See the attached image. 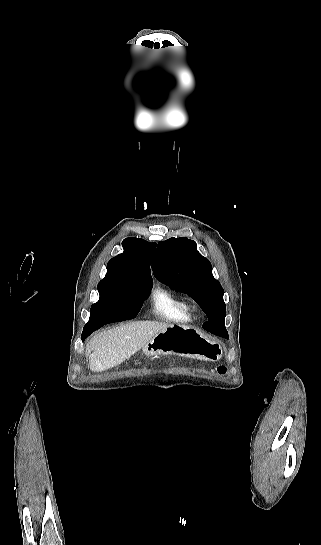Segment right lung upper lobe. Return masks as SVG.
<instances>
[{
	"label": "right lung upper lobe",
	"instance_id": "1",
	"mask_svg": "<svg viewBox=\"0 0 321 545\" xmlns=\"http://www.w3.org/2000/svg\"><path fill=\"white\" fill-rule=\"evenodd\" d=\"M122 246L124 252L109 261L107 274L102 282L123 288L152 286L150 263L156 243L139 238H126Z\"/></svg>",
	"mask_w": 321,
	"mask_h": 545
}]
</instances>
